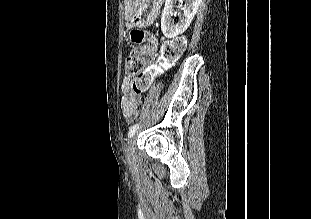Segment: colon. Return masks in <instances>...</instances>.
I'll use <instances>...</instances> for the list:
<instances>
[{
    "mask_svg": "<svg viewBox=\"0 0 311 219\" xmlns=\"http://www.w3.org/2000/svg\"><path fill=\"white\" fill-rule=\"evenodd\" d=\"M141 33L136 34L139 38ZM186 40L184 37H177L171 41L166 42L161 50L159 57V65H167L177 60L185 50ZM147 49L145 47L134 50L125 61V69L128 74L136 75L137 79L133 84L134 91L139 93L147 89L151 80L156 76L158 67L153 66L148 73L143 72L144 68V54Z\"/></svg>",
    "mask_w": 311,
    "mask_h": 219,
    "instance_id": "1",
    "label": "colon"
}]
</instances>
